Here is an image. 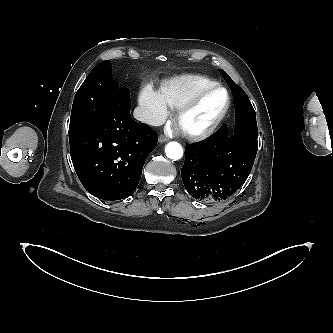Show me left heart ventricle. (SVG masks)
Returning a JSON list of instances; mask_svg holds the SVG:
<instances>
[{"mask_svg":"<svg viewBox=\"0 0 333 333\" xmlns=\"http://www.w3.org/2000/svg\"><path fill=\"white\" fill-rule=\"evenodd\" d=\"M226 102L223 90L208 94L198 106L184 119V125L190 129H199L208 125L222 110Z\"/></svg>","mask_w":333,"mask_h":333,"instance_id":"obj_1","label":"left heart ventricle"}]
</instances>
